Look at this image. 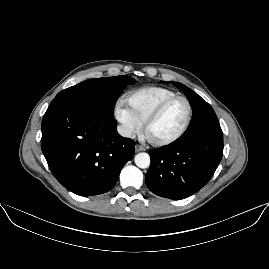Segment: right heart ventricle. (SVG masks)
Here are the masks:
<instances>
[{
	"label": "right heart ventricle",
	"instance_id": "right-heart-ventricle-1",
	"mask_svg": "<svg viewBox=\"0 0 269 269\" xmlns=\"http://www.w3.org/2000/svg\"><path fill=\"white\" fill-rule=\"evenodd\" d=\"M175 96H178L175 91L164 87L138 89L128 95V108L137 121L144 125L151 112L164 101Z\"/></svg>",
	"mask_w": 269,
	"mask_h": 269
}]
</instances>
